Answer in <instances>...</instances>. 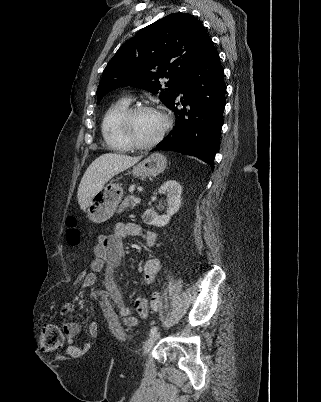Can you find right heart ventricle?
<instances>
[{
    "label": "right heart ventricle",
    "instance_id": "1",
    "mask_svg": "<svg viewBox=\"0 0 321 402\" xmlns=\"http://www.w3.org/2000/svg\"><path fill=\"white\" fill-rule=\"evenodd\" d=\"M130 107L128 99H119L109 106L101 121V133L107 148L116 152H127L131 147L123 139L119 121L123 113Z\"/></svg>",
    "mask_w": 321,
    "mask_h": 402
}]
</instances>
